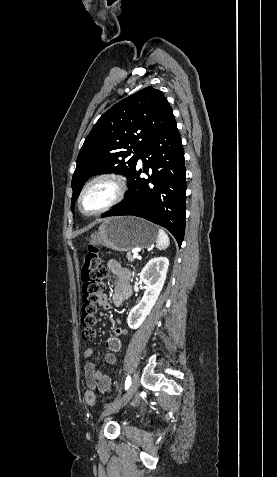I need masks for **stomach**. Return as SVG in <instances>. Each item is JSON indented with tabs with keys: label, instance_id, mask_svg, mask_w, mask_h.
<instances>
[{
	"label": "stomach",
	"instance_id": "1",
	"mask_svg": "<svg viewBox=\"0 0 277 477\" xmlns=\"http://www.w3.org/2000/svg\"><path fill=\"white\" fill-rule=\"evenodd\" d=\"M158 231L152 223L133 216L111 217L91 236L90 244L115 251L148 248L157 241Z\"/></svg>",
	"mask_w": 277,
	"mask_h": 477
}]
</instances>
